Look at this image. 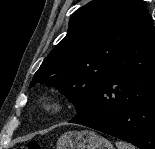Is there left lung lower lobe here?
<instances>
[{"label": "left lung lower lobe", "mask_w": 155, "mask_h": 149, "mask_svg": "<svg viewBox=\"0 0 155 149\" xmlns=\"http://www.w3.org/2000/svg\"><path fill=\"white\" fill-rule=\"evenodd\" d=\"M69 122L155 149V29L142 17L88 105Z\"/></svg>", "instance_id": "left-lung-lower-lobe-1"}]
</instances>
